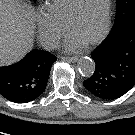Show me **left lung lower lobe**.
Segmentation results:
<instances>
[{
    "instance_id": "1",
    "label": "left lung lower lobe",
    "mask_w": 135,
    "mask_h": 135,
    "mask_svg": "<svg viewBox=\"0 0 135 135\" xmlns=\"http://www.w3.org/2000/svg\"><path fill=\"white\" fill-rule=\"evenodd\" d=\"M94 74L84 81L93 95L114 100L135 85V18L122 28L113 27L105 41L92 52Z\"/></svg>"
}]
</instances>
